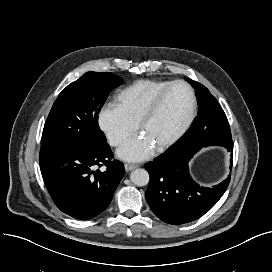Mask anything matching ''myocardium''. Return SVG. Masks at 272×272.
Here are the masks:
<instances>
[{
    "mask_svg": "<svg viewBox=\"0 0 272 272\" xmlns=\"http://www.w3.org/2000/svg\"><path fill=\"white\" fill-rule=\"evenodd\" d=\"M176 86H183L188 91L190 97L189 112L187 114L185 121L178 128V130L170 138H168L166 141H164L163 143L156 147L157 151H164L165 149L175 144L189 129L196 115L197 98L193 88L188 83L178 80L171 82L168 86H166L154 97V99L151 101V103L147 106V108L143 112L138 122V129L142 130V128L148 122V120L151 119L156 114L169 91Z\"/></svg>",
    "mask_w": 272,
    "mask_h": 272,
    "instance_id": "myocardium-1",
    "label": "myocardium"
}]
</instances>
